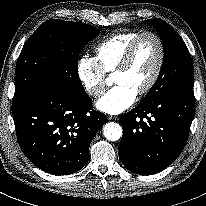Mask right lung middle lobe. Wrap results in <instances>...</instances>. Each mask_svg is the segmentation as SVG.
<instances>
[{"label": "right lung middle lobe", "instance_id": "right-lung-middle-lobe-1", "mask_svg": "<svg viewBox=\"0 0 206 206\" xmlns=\"http://www.w3.org/2000/svg\"><path fill=\"white\" fill-rule=\"evenodd\" d=\"M99 33L88 24L56 19L40 25L17 60L13 104L48 86L73 95L86 93L78 75V55Z\"/></svg>", "mask_w": 206, "mask_h": 206}]
</instances>
